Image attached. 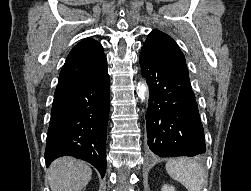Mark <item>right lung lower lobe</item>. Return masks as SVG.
Masks as SVG:
<instances>
[{
	"label": "right lung lower lobe",
	"instance_id": "1",
	"mask_svg": "<svg viewBox=\"0 0 251 191\" xmlns=\"http://www.w3.org/2000/svg\"><path fill=\"white\" fill-rule=\"evenodd\" d=\"M109 75L71 92L54 96L45 160L73 156L106 170L105 141L109 117Z\"/></svg>",
	"mask_w": 251,
	"mask_h": 191
}]
</instances>
